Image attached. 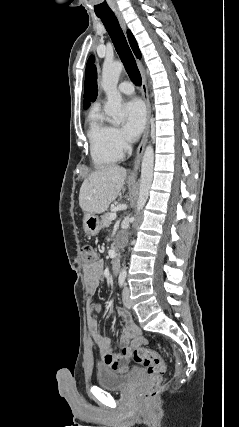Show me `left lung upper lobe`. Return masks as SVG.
Wrapping results in <instances>:
<instances>
[{
    "label": "left lung upper lobe",
    "mask_w": 239,
    "mask_h": 427,
    "mask_svg": "<svg viewBox=\"0 0 239 427\" xmlns=\"http://www.w3.org/2000/svg\"><path fill=\"white\" fill-rule=\"evenodd\" d=\"M94 57L90 56L86 66L85 75V93H84V109L90 106V102H94L97 97V71L94 65Z\"/></svg>",
    "instance_id": "left-lung-upper-lobe-1"
}]
</instances>
